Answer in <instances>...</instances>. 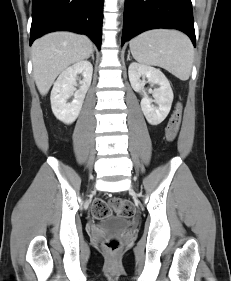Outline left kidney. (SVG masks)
Segmentation results:
<instances>
[{
    "mask_svg": "<svg viewBox=\"0 0 231 281\" xmlns=\"http://www.w3.org/2000/svg\"><path fill=\"white\" fill-rule=\"evenodd\" d=\"M128 75L132 88L143 96L141 109L146 120L151 125L160 124L169 114L173 102V91L168 79L159 69L136 62L129 65ZM145 78L151 85L159 86L152 91L154 100L145 91Z\"/></svg>",
    "mask_w": 231,
    "mask_h": 281,
    "instance_id": "5707ae66",
    "label": "left kidney"
}]
</instances>
